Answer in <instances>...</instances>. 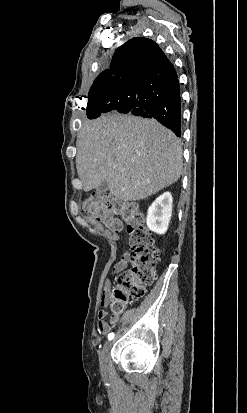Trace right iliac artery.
<instances>
[{
    "label": "right iliac artery",
    "instance_id": "obj_1",
    "mask_svg": "<svg viewBox=\"0 0 247 413\" xmlns=\"http://www.w3.org/2000/svg\"><path fill=\"white\" fill-rule=\"evenodd\" d=\"M113 338H114V333L113 332L108 334V340H112Z\"/></svg>",
    "mask_w": 247,
    "mask_h": 413
}]
</instances>
